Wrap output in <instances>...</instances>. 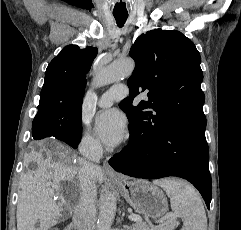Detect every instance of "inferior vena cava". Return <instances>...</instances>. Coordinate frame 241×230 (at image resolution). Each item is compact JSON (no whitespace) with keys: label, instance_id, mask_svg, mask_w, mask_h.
<instances>
[{"label":"inferior vena cava","instance_id":"602c4592","mask_svg":"<svg viewBox=\"0 0 241 230\" xmlns=\"http://www.w3.org/2000/svg\"><path fill=\"white\" fill-rule=\"evenodd\" d=\"M102 152V147L98 144L82 150L86 160H84L79 174L81 198L73 215V223L77 230H95L97 189L95 165L92 161H98Z\"/></svg>","mask_w":241,"mask_h":230}]
</instances>
